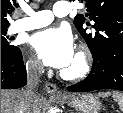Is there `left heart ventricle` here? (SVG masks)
Returning <instances> with one entry per match:
<instances>
[{
    "label": "left heart ventricle",
    "instance_id": "obj_1",
    "mask_svg": "<svg viewBox=\"0 0 123 113\" xmlns=\"http://www.w3.org/2000/svg\"><path fill=\"white\" fill-rule=\"evenodd\" d=\"M75 66H76V62H75V60H73L71 62V64L68 67H66L65 69L66 70H72Z\"/></svg>",
    "mask_w": 123,
    "mask_h": 113
}]
</instances>
